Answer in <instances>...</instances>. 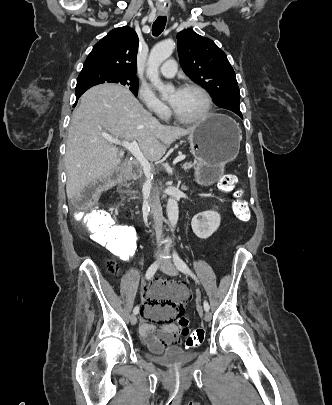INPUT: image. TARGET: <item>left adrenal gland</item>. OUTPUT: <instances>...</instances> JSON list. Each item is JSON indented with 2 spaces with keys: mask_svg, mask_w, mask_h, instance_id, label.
<instances>
[{
  "mask_svg": "<svg viewBox=\"0 0 332 405\" xmlns=\"http://www.w3.org/2000/svg\"><path fill=\"white\" fill-rule=\"evenodd\" d=\"M182 189H187L185 186H182Z\"/></svg>",
  "mask_w": 332,
  "mask_h": 405,
  "instance_id": "1",
  "label": "left adrenal gland"
}]
</instances>
